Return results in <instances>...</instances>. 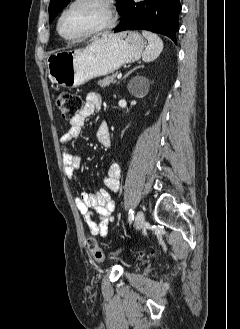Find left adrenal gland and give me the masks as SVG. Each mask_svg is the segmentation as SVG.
Segmentation results:
<instances>
[{
    "label": "left adrenal gland",
    "instance_id": "left-adrenal-gland-1",
    "mask_svg": "<svg viewBox=\"0 0 240 329\" xmlns=\"http://www.w3.org/2000/svg\"><path fill=\"white\" fill-rule=\"evenodd\" d=\"M141 66H139V67H136V68H134L133 70H131L129 73H127V75L126 76H128L131 72H133L134 70H136V69H138V68H140ZM143 67V66H142Z\"/></svg>",
    "mask_w": 240,
    "mask_h": 329
}]
</instances>
